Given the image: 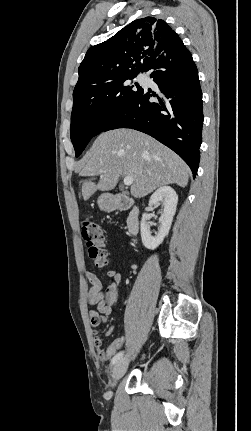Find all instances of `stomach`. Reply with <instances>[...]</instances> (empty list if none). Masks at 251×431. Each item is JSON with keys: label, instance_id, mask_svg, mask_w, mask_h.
<instances>
[{"label": "stomach", "instance_id": "stomach-1", "mask_svg": "<svg viewBox=\"0 0 251 431\" xmlns=\"http://www.w3.org/2000/svg\"><path fill=\"white\" fill-rule=\"evenodd\" d=\"M98 206L103 211H112L116 208V202L110 195L103 194L98 198Z\"/></svg>", "mask_w": 251, "mask_h": 431}]
</instances>
